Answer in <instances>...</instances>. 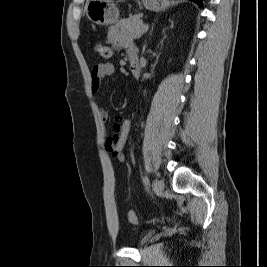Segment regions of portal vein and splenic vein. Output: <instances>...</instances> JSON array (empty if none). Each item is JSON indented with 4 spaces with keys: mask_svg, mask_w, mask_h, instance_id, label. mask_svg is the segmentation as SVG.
Here are the masks:
<instances>
[{
    "mask_svg": "<svg viewBox=\"0 0 267 267\" xmlns=\"http://www.w3.org/2000/svg\"><path fill=\"white\" fill-rule=\"evenodd\" d=\"M149 29V25L148 24H145L144 26H143V33L145 32V31H147Z\"/></svg>",
    "mask_w": 267,
    "mask_h": 267,
    "instance_id": "portal-vein-and-splenic-vein-1",
    "label": "portal vein and splenic vein"
}]
</instances>
